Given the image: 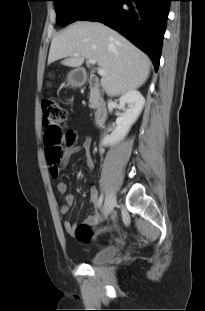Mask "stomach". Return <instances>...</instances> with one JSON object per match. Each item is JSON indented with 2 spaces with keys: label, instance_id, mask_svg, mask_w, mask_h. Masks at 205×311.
<instances>
[{
  "label": "stomach",
  "instance_id": "stomach-1",
  "mask_svg": "<svg viewBox=\"0 0 205 311\" xmlns=\"http://www.w3.org/2000/svg\"><path fill=\"white\" fill-rule=\"evenodd\" d=\"M67 81L73 86H80L84 82V76L78 71H72L68 74Z\"/></svg>",
  "mask_w": 205,
  "mask_h": 311
}]
</instances>
